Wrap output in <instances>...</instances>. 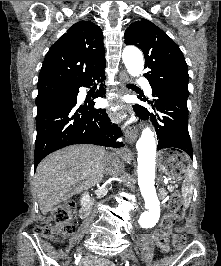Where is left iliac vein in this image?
Segmentation results:
<instances>
[{
	"mask_svg": "<svg viewBox=\"0 0 221 266\" xmlns=\"http://www.w3.org/2000/svg\"><path fill=\"white\" fill-rule=\"evenodd\" d=\"M121 257H122L123 259H125V260H126V259H129V260L133 261L134 263H137V262H138L135 253H134L132 250H130V249L125 250V251L121 254Z\"/></svg>",
	"mask_w": 221,
	"mask_h": 266,
	"instance_id": "1",
	"label": "left iliac vein"
}]
</instances>
